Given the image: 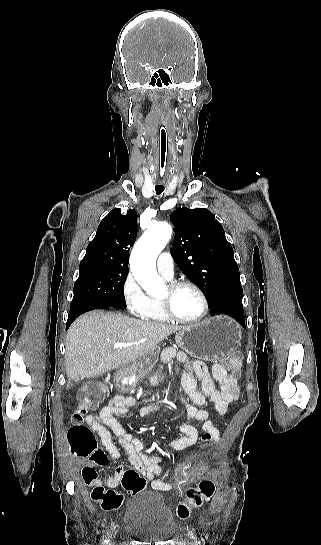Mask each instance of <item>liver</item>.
I'll return each instance as SVG.
<instances>
[{
    "mask_svg": "<svg viewBox=\"0 0 321 545\" xmlns=\"http://www.w3.org/2000/svg\"><path fill=\"white\" fill-rule=\"evenodd\" d=\"M179 325L150 323L125 315L91 311L71 325L66 339V373L68 383L99 377L113 369L126 367L147 355L158 343L182 331ZM115 343H135L114 349ZM71 387V385H67Z\"/></svg>",
    "mask_w": 321,
    "mask_h": 545,
    "instance_id": "6515ba94",
    "label": "liver"
}]
</instances>
